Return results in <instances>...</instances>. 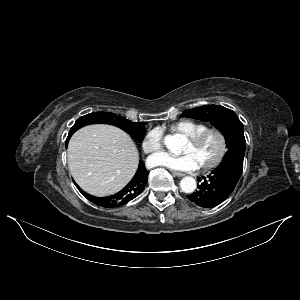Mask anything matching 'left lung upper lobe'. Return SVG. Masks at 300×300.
Here are the masks:
<instances>
[{
    "instance_id": "left-lung-upper-lobe-1",
    "label": "left lung upper lobe",
    "mask_w": 300,
    "mask_h": 300,
    "mask_svg": "<svg viewBox=\"0 0 300 300\" xmlns=\"http://www.w3.org/2000/svg\"><path fill=\"white\" fill-rule=\"evenodd\" d=\"M181 116L210 121L225 136L228 151L223 159L228 157L244 159L246 141L243 124L232 110L218 105H206L185 111Z\"/></svg>"
}]
</instances>
